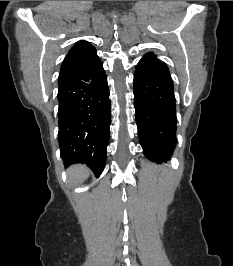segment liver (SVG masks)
<instances>
[{"label":"liver","mask_w":233,"mask_h":266,"mask_svg":"<svg viewBox=\"0 0 233 266\" xmlns=\"http://www.w3.org/2000/svg\"><path fill=\"white\" fill-rule=\"evenodd\" d=\"M67 174L72 182L80 184L89 177V169L84 165H73L67 170Z\"/></svg>","instance_id":"1"}]
</instances>
